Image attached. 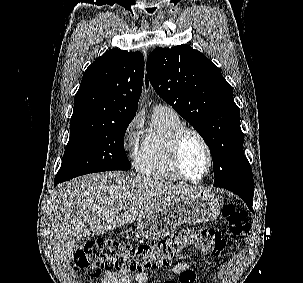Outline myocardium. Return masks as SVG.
Instances as JSON below:
<instances>
[{
  "label": "myocardium",
  "mask_w": 303,
  "mask_h": 283,
  "mask_svg": "<svg viewBox=\"0 0 303 283\" xmlns=\"http://www.w3.org/2000/svg\"><path fill=\"white\" fill-rule=\"evenodd\" d=\"M188 135H193L195 136L202 144V146L205 149L206 155H207V169L204 175L198 179H193L188 174L186 173L183 164H182V157H181V150H182V145L185 140V138ZM171 158L172 162L174 164V167L178 171V173L183 177V179L192 182V183H198L203 181L204 179L207 178V176L210 174L212 167H213V155H212V150L205 139V137L196 129L191 128V127H186L183 126L180 128L175 135L172 138L171 141Z\"/></svg>",
  "instance_id": "myocardium-1"
}]
</instances>
